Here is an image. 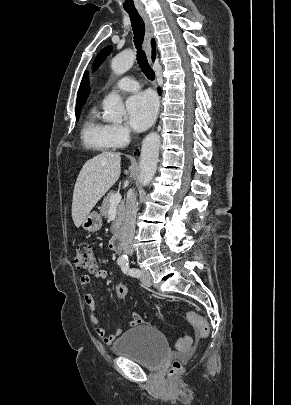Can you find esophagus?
<instances>
[{
    "label": "esophagus",
    "mask_w": 291,
    "mask_h": 405,
    "mask_svg": "<svg viewBox=\"0 0 291 405\" xmlns=\"http://www.w3.org/2000/svg\"><path fill=\"white\" fill-rule=\"evenodd\" d=\"M140 16L142 17L144 23H145V28H146V33H145V38H144V50L145 53L147 54L148 58L151 60V39L153 37V25L152 22L148 16V14L145 11H139Z\"/></svg>",
    "instance_id": "esophagus-1"
}]
</instances>
